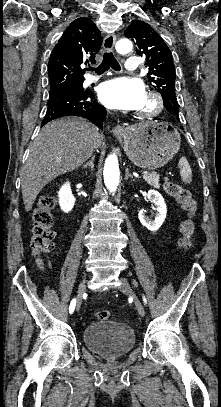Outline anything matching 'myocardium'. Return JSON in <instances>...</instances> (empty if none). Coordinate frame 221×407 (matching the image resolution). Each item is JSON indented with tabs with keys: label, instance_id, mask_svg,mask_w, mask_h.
<instances>
[{
	"label": "myocardium",
	"instance_id": "f54148a6",
	"mask_svg": "<svg viewBox=\"0 0 221 407\" xmlns=\"http://www.w3.org/2000/svg\"><path fill=\"white\" fill-rule=\"evenodd\" d=\"M146 97L148 99L149 106L144 110H140L138 115L142 118L157 116L164 107L162 96L154 90H149L146 92Z\"/></svg>",
	"mask_w": 221,
	"mask_h": 407
}]
</instances>
